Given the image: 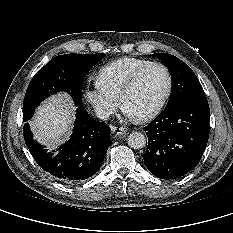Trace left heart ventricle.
<instances>
[{"mask_svg": "<svg viewBox=\"0 0 233 233\" xmlns=\"http://www.w3.org/2000/svg\"><path fill=\"white\" fill-rule=\"evenodd\" d=\"M168 79L160 67L147 69L133 90L127 95L124 108L135 117H139L153 109L166 92Z\"/></svg>", "mask_w": 233, "mask_h": 233, "instance_id": "1", "label": "left heart ventricle"}]
</instances>
